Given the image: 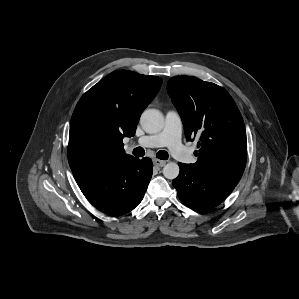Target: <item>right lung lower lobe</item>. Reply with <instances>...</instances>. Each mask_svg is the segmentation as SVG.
<instances>
[{"instance_id":"1","label":"right lung lower lobe","mask_w":299,"mask_h":299,"mask_svg":"<svg viewBox=\"0 0 299 299\" xmlns=\"http://www.w3.org/2000/svg\"><path fill=\"white\" fill-rule=\"evenodd\" d=\"M152 161L134 157L109 161L93 168L72 169L87 200L109 215L133 210L143 199L152 177Z\"/></svg>"}]
</instances>
